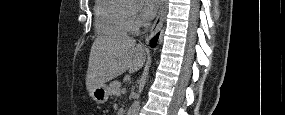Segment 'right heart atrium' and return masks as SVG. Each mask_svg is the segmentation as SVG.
I'll return each mask as SVG.
<instances>
[{"label": "right heart atrium", "instance_id": "obj_1", "mask_svg": "<svg viewBox=\"0 0 285 115\" xmlns=\"http://www.w3.org/2000/svg\"><path fill=\"white\" fill-rule=\"evenodd\" d=\"M143 24V20L141 18V16L135 14L132 16V26H133V30L138 29L139 26H141Z\"/></svg>", "mask_w": 285, "mask_h": 115}]
</instances>
